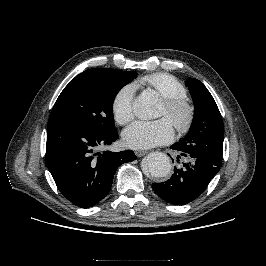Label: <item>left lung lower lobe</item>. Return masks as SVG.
I'll return each mask as SVG.
<instances>
[{
    "label": "left lung lower lobe",
    "mask_w": 266,
    "mask_h": 266,
    "mask_svg": "<svg viewBox=\"0 0 266 266\" xmlns=\"http://www.w3.org/2000/svg\"><path fill=\"white\" fill-rule=\"evenodd\" d=\"M170 148L180 151L175 144ZM180 152L181 156L186 157L182 166L174 167V174L168 181L152 184V189L159 197L174 205H185L195 200L204 192L221 167L202 157Z\"/></svg>",
    "instance_id": "obj_1"
}]
</instances>
